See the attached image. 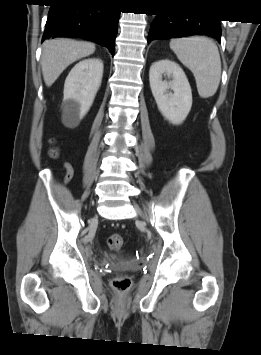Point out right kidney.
Here are the masks:
<instances>
[{
    "instance_id": "right-kidney-1",
    "label": "right kidney",
    "mask_w": 261,
    "mask_h": 355,
    "mask_svg": "<svg viewBox=\"0 0 261 355\" xmlns=\"http://www.w3.org/2000/svg\"><path fill=\"white\" fill-rule=\"evenodd\" d=\"M103 76V61L89 58L77 63L64 84L63 116L69 125H76L90 109Z\"/></svg>"
}]
</instances>
